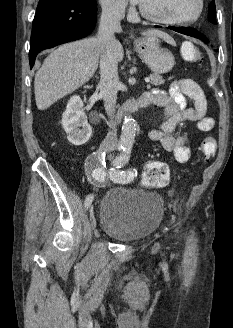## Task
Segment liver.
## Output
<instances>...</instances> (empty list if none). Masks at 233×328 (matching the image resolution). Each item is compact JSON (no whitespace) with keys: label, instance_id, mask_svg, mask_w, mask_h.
Wrapping results in <instances>:
<instances>
[{"label":"liver","instance_id":"6515ba94","mask_svg":"<svg viewBox=\"0 0 233 328\" xmlns=\"http://www.w3.org/2000/svg\"><path fill=\"white\" fill-rule=\"evenodd\" d=\"M142 35L156 36L168 43H174L167 33L159 30H147ZM101 50L98 37H90L67 43L50 53L34 79L37 108L45 110L84 85L97 70ZM113 52L117 61H122L124 50L117 40Z\"/></svg>","mask_w":233,"mask_h":328}]
</instances>
